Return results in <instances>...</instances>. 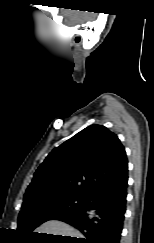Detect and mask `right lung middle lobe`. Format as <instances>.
Returning a JSON list of instances; mask_svg holds the SVG:
<instances>
[{
    "label": "right lung middle lobe",
    "instance_id": "right-lung-middle-lobe-1",
    "mask_svg": "<svg viewBox=\"0 0 154 243\" xmlns=\"http://www.w3.org/2000/svg\"><path fill=\"white\" fill-rule=\"evenodd\" d=\"M86 197L60 195L24 204L19 213L17 231L22 236L31 235L43 222L52 220L60 214L80 209Z\"/></svg>",
    "mask_w": 154,
    "mask_h": 243
}]
</instances>
